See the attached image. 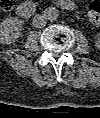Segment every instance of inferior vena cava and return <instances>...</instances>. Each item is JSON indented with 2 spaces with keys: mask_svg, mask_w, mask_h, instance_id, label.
<instances>
[{
  "mask_svg": "<svg viewBox=\"0 0 100 118\" xmlns=\"http://www.w3.org/2000/svg\"><path fill=\"white\" fill-rule=\"evenodd\" d=\"M47 23V19L44 14H36L33 18V25L37 28L44 27Z\"/></svg>",
  "mask_w": 100,
  "mask_h": 118,
  "instance_id": "inferior-vena-cava-1",
  "label": "inferior vena cava"
}]
</instances>
